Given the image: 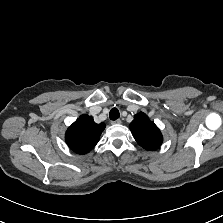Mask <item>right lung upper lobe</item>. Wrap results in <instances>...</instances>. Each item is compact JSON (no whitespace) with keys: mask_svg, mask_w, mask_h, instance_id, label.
Instances as JSON below:
<instances>
[{"mask_svg":"<svg viewBox=\"0 0 223 223\" xmlns=\"http://www.w3.org/2000/svg\"><path fill=\"white\" fill-rule=\"evenodd\" d=\"M104 128V123L97 124L91 116L83 114L68 128L66 143L74 152L85 154L98 143Z\"/></svg>","mask_w":223,"mask_h":223,"instance_id":"right-lung-upper-lobe-1","label":"right lung upper lobe"}]
</instances>
